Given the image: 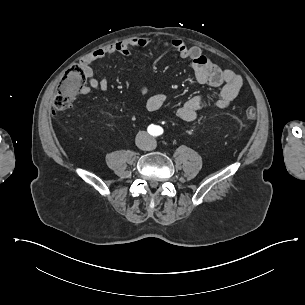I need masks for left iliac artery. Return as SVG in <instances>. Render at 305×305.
Wrapping results in <instances>:
<instances>
[{
	"instance_id": "44dca946",
	"label": "left iliac artery",
	"mask_w": 305,
	"mask_h": 305,
	"mask_svg": "<svg viewBox=\"0 0 305 305\" xmlns=\"http://www.w3.org/2000/svg\"><path fill=\"white\" fill-rule=\"evenodd\" d=\"M162 133H163V130L159 128L158 131H157V134L160 135Z\"/></svg>"
}]
</instances>
